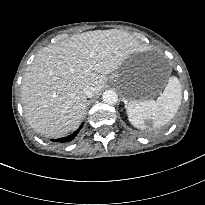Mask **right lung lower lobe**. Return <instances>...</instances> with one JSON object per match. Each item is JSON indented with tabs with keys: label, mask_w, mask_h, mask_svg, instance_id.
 <instances>
[{
	"label": "right lung lower lobe",
	"mask_w": 205,
	"mask_h": 205,
	"mask_svg": "<svg viewBox=\"0 0 205 205\" xmlns=\"http://www.w3.org/2000/svg\"><path fill=\"white\" fill-rule=\"evenodd\" d=\"M82 126H83V124H81V126L73 134H71V135H69L67 137L60 138V139H55V140H52V141H54V142H61V143L71 141V140H73L77 136V134L79 133V131L82 128Z\"/></svg>",
	"instance_id": "98d812e1"
}]
</instances>
